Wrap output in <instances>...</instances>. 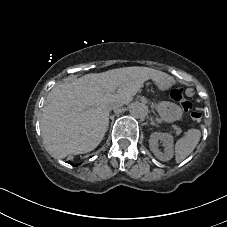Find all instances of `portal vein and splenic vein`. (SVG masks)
<instances>
[{
  "label": "portal vein and splenic vein",
  "mask_w": 227,
  "mask_h": 227,
  "mask_svg": "<svg viewBox=\"0 0 227 227\" xmlns=\"http://www.w3.org/2000/svg\"><path fill=\"white\" fill-rule=\"evenodd\" d=\"M172 128L174 127L173 125L171 126ZM173 130L176 132V134L179 136L182 132L180 128H177L176 126L173 128Z\"/></svg>",
  "instance_id": "portal-vein-and-splenic-vein-1"
}]
</instances>
